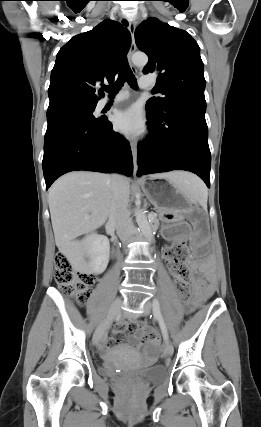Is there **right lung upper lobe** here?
<instances>
[{
	"mask_svg": "<svg viewBox=\"0 0 261 427\" xmlns=\"http://www.w3.org/2000/svg\"><path fill=\"white\" fill-rule=\"evenodd\" d=\"M130 43V32L109 19L71 38L59 50L51 72L48 109L96 105L104 95L96 90L114 81Z\"/></svg>",
	"mask_w": 261,
	"mask_h": 427,
	"instance_id": "obj_1",
	"label": "right lung upper lobe"
}]
</instances>
